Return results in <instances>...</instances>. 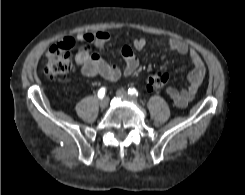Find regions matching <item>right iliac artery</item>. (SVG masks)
Wrapping results in <instances>:
<instances>
[{
	"label": "right iliac artery",
	"instance_id": "1",
	"mask_svg": "<svg viewBox=\"0 0 245 195\" xmlns=\"http://www.w3.org/2000/svg\"><path fill=\"white\" fill-rule=\"evenodd\" d=\"M105 93H106V88L104 87L100 88L98 91V97L102 99L105 96Z\"/></svg>",
	"mask_w": 245,
	"mask_h": 195
}]
</instances>
